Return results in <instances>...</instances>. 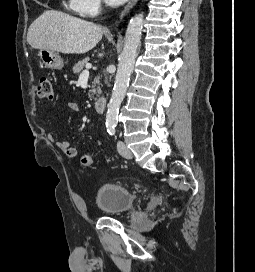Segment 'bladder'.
Segmentation results:
<instances>
[{"mask_svg":"<svg viewBox=\"0 0 255 272\" xmlns=\"http://www.w3.org/2000/svg\"><path fill=\"white\" fill-rule=\"evenodd\" d=\"M95 204L100 212L110 216H118L133 208L134 196L122 185L108 183L97 189Z\"/></svg>","mask_w":255,"mask_h":272,"instance_id":"obj_1","label":"bladder"}]
</instances>
